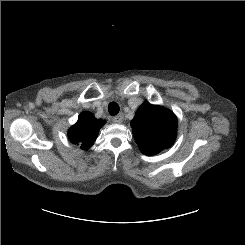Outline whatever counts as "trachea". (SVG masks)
Masks as SVG:
<instances>
[{
    "mask_svg": "<svg viewBox=\"0 0 245 245\" xmlns=\"http://www.w3.org/2000/svg\"><path fill=\"white\" fill-rule=\"evenodd\" d=\"M108 111L111 115H116L119 112V106L115 102H111L108 106Z\"/></svg>",
    "mask_w": 245,
    "mask_h": 245,
    "instance_id": "3493384b",
    "label": "trachea"
}]
</instances>
